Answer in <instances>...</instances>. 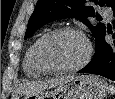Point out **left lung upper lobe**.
Here are the masks:
<instances>
[{
    "mask_svg": "<svg viewBox=\"0 0 115 99\" xmlns=\"http://www.w3.org/2000/svg\"><path fill=\"white\" fill-rule=\"evenodd\" d=\"M91 2L101 7L104 5L112 9L115 7V0H38L24 39L49 22L61 18H76L89 27L97 43L106 27L102 23L92 26L89 22L88 17H95V10L90 6Z\"/></svg>",
    "mask_w": 115,
    "mask_h": 99,
    "instance_id": "left-lung-upper-lobe-1",
    "label": "left lung upper lobe"
}]
</instances>
